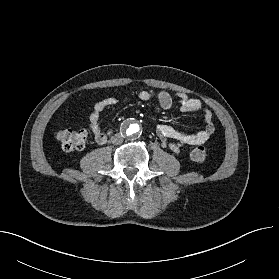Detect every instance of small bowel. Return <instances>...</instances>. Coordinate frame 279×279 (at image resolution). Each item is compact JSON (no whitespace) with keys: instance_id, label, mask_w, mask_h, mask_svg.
Returning a JSON list of instances; mask_svg holds the SVG:
<instances>
[{"instance_id":"c3829d8e","label":"small bowel","mask_w":279,"mask_h":279,"mask_svg":"<svg viewBox=\"0 0 279 279\" xmlns=\"http://www.w3.org/2000/svg\"><path fill=\"white\" fill-rule=\"evenodd\" d=\"M138 98L142 101L156 99L164 110H169L176 98L179 104V110L182 113L197 112L201 113L205 122V127L194 134L184 133L170 125L159 124L156 127L158 136L162 139L164 145L168 146L174 152H179L184 146H195L204 144L209 140L214 132V123L211 111L196 98L189 97L185 93L170 94L167 91L143 90L138 93ZM128 97L119 100L115 97L104 98L94 105V109L89 116V128L93 133L94 139L98 144H104L107 141V135L102 131L99 120L101 113L109 107L118 105L120 102H127Z\"/></svg>"}]
</instances>
